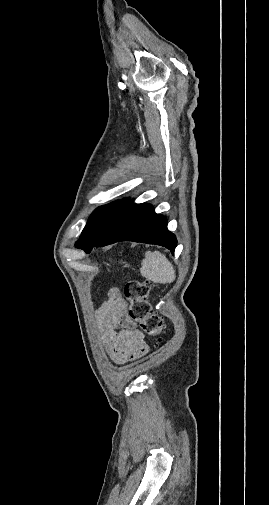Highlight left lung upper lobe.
Returning a JSON list of instances; mask_svg holds the SVG:
<instances>
[{
    "label": "left lung upper lobe",
    "instance_id": "5c2ea615",
    "mask_svg": "<svg viewBox=\"0 0 269 505\" xmlns=\"http://www.w3.org/2000/svg\"><path fill=\"white\" fill-rule=\"evenodd\" d=\"M128 200L115 201L95 209L83 229L80 239L75 243L76 248L82 249L100 241L124 209Z\"/></svg>",
    "mask_w": 269,
    "mask_h": 505
}]
</instances>
